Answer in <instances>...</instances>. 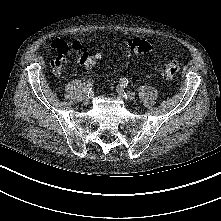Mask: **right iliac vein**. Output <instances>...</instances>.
<instances>
[{"mask_svg": "<svg viewBox=\"0 0 221 221\" xmlns=\"http://www.w3.org/2000/svg\"><path fill=\"white\" fill-rule=\"evenodd\" d=\"M90 97H91L90 92L88 90H85L84 95H83L84 100L88 101Z\"/></svg>", "mask_w": 221, "mask_h": 221, "instance_id": "right-iliac-vein-1", "label": "right iliac vein"}]
</instances>
